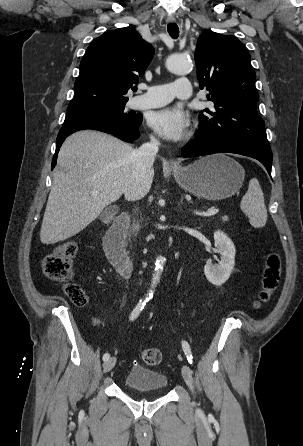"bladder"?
Segmentation results:
<instances>
[{
    "label": "bladder",
    "mask_w": 303,
    "mask_h": 446,
    "mask_svg": "<svg viewBox=\"0 0 303 446\" xmlns=\"http://www.w3.org/2000/svg\"><path fill=\"white\" fill-rule=\"evenodd\" d=\"M168 383L165 374L143 366H133L124 379L125 387L137 392H163L168 387Z\"/></svg>",
    "instance_id": "1"
}]
</instances>
